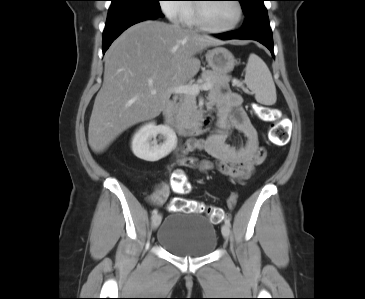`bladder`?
Returning <instances> with one entry per match:
<instances>
[{"label":"bladder","mask_w":365,"mask_h":299,"mask_svg":"<svg viewBox=\"0 0 365 299\" xmlns=\"http://www.w3.org/2000/svg\"><path fill=\"white\" fill-rule=\"evenodd\" d=\"M157 242L169 253L180 257H205L218 245L215 224L205 216L174 212L162 223Z\"/></svg>","instance_id":"bladder-1"}]
</instances>
